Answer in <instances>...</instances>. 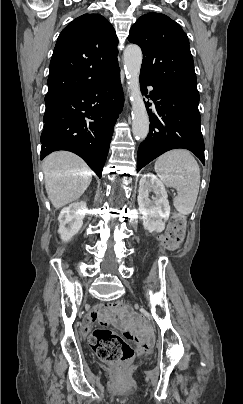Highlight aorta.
<instances>
[{"label": "aorta", "mask_w": 243, "mask_h": 404, "mask_svg": "<svg viewBox=\"0 0 243 404\" xmlns=\"http://www.w3.org/2000/svg\"><path fill=\"white\" fill-rule=\"evenodd\" d=\"M124 70L128 78V92L132 104V132L136 140H145L149 132V116L140 92L139 74L142 52L139 46L129 44L123 52Z\"/></svg>", "instance_id": "obj_1"}]
</instances>
